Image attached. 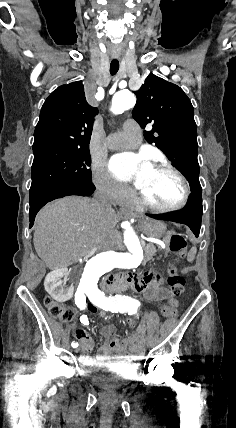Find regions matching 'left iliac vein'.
I'll list each match as a JSON object with an SVG mask.
<instances>
[{
    "mask_svg": "<svg viewBox=\"0 0 236 428\" xmlns=\"http://www.w3.org/2000/svg\"><path fill=\"white\" fill-rule=\"evenodd\" d=\"M146 338H147V342H148V343H151V342H152V339H151V337H150L149 335H148Z\"/></svg>",
    "mask_w": 236,
    "mask_h": 428,
    "instance_id": "4c4485c4",
    "label": "left iliac vein"
}]
</instances>
